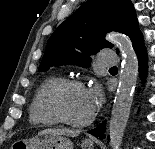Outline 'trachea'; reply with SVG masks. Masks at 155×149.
<instances>
[{
    "instance_id": "3493384b",
    "label": "trachea",
    "mask_w": 155,
    "mask_h": 149,
    "mask_svg": "<svg viewBox=\"0 0 155 149\" xmlns=\"http://www.w3.org/2000/svg\"><path fill=\"white\" fill-rule=\"evenodd\" d=\"M110 69H117V67H116V66H114V67H111Z\"/></svg>"
}]
</instances>
